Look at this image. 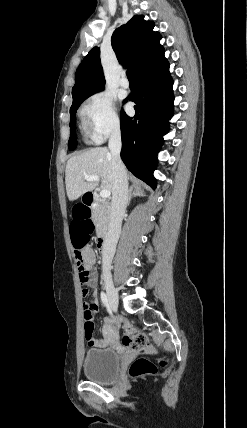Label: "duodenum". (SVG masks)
<instances>
[{"label":"duodenum","instance_id":"duodenum-1","mask_svg":"<svg viewBox=\"0 0 247 428\" xmlns=\"http://www.w3.org/2000/svg\"><path fill=\"white\" fill-rule=\"evenodd\" d=\"M97 202V198L93 193H87L85 196V204H89L90 207L94 206ZM109 244V236L107 234H102L97 243L98 250L101 253H104Z\"/></svg>","mask_w":247,"mask_h":428}]
</instances>
